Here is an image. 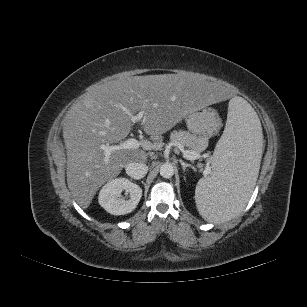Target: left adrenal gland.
Listing matches in <instances>:
<instances>
[{
	"label": "left adrenal gland",
	"mask_w": 307,
	"mask_h": 307,
	"mask_svg": "<svg viewBox=\"0 0 307 307\" xmlns=\"http://www.w3.org/2000/svg\"><path fill=\"white\" fill-rule=\"evenodd\" d=\"M180 164L182 165L183 171L185 172L187 168H191L194 170V166L191 164L185 163L183 160H179Z\"/></svg>",
	"instance_id": "left-adrenal-gland-1"
}]
</instances>
